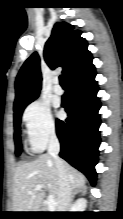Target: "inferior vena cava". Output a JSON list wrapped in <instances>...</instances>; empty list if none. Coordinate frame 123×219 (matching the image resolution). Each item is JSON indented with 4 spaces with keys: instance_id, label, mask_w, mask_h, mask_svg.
Returning a JSON list of instances; mask_svg holds the SVG:
<instances>
[{
    "instance_id": "inferior-vena-cava-1",
    "label": "inferior vena cava",
    "mask_w": 123,
    "mask_h": 219,
    "mask_svg": "<svg viewBox=\"0 0 123 219\" xmlns=\"http://www.w3.org/2000/svg\"><path fill=\"white\" fill-rule=\"evenodd\" d=\"M60 144L56 134L50 136L48 154L54 159L56 172L59 182V193L57 200V212H67L70 208L72 188L69 182L66 167L63 161L58 157Z\"/></svg>"
}]
</instances>
